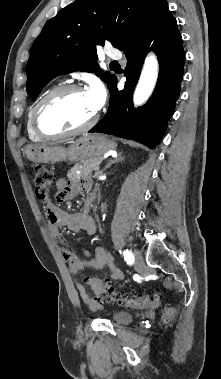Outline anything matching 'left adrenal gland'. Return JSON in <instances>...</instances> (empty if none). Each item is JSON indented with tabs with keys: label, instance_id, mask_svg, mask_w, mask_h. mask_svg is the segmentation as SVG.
<instances>
[{
	"label": "left adrenal gland",
	"instance_id": "a2214340",
	"mask_svg": "<svg viewBox=\"0 0 221 379\" xmlns=\"http://www.w3.org/2000/svg\"><path fill=\"white\" fill-rule=\"evenodd\" d=\"M124 160V157L121 156V153L113 160H110L105 168L103 169V171L107 170L112 164H115V163H118V162H122Z\"/></svg>",
	"mask_w": 221,
	"mask_h": 379
}]
</instances>
